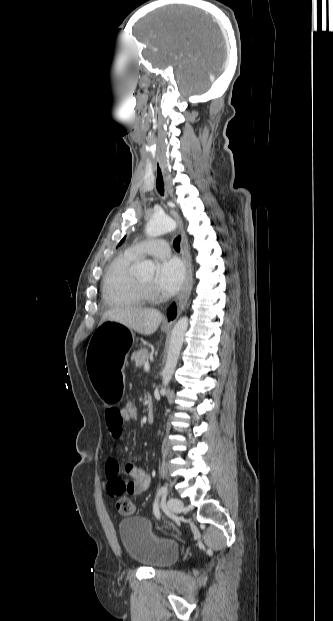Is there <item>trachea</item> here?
<instances>
[{
    "mask_svg": "<svg viewBox=\"0 0 333 621\" xmlns=\"http://www.w3.org/2000/svg\"><path fill=\"white\" fill-rule=\"evenodd\" d=\"M180 239H181V237L178 236L177 238H175V240L173 242V246H174L176 251L180 250Z\"/></svg>",
    "mask_w": 333,
    "mask_h": 621,
    "instance_id": "obj_1",
    "label": "trachea"
}]
</instances>
